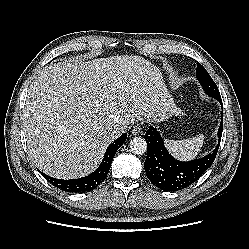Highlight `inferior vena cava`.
<instances>
[{
  "label": "inferior vena cava",
  "mask_w": 249,
  "mask_h": 249,
  "mask_svg": "<svg viewBox=\"0 0 249 249\" xmlns=\"http://www.w3.org/2000/svg\"><path fill=\"white\" fill-rule=\"evenodd\" d=\"M125 129H126L125 126H116L112 130V135L115 136V137H118L124 132Z\"/></svg>",
  "instance_id": "obj_1"
}]
</instances>
